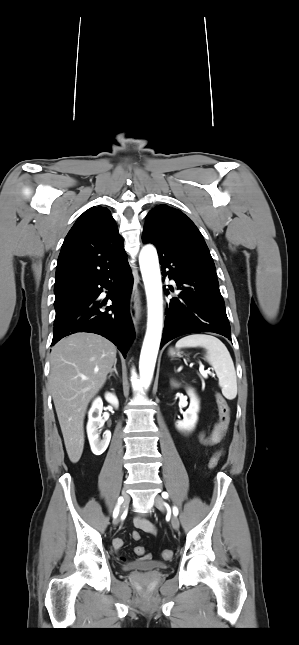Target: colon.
<instances>
[{
  "instance_id": "obj_1",
  "label": "colon",
  "mask_w": 299,
  "mask_h": 645,
  "mask_svg": "<svg viewBox=\"0 0 299 645\" xmlns=\"http://www.w3.org/2000/svg\"><path fill=\"white\" fill-rule=\"evenodd\" d=\"M216 403L218 408L219 427L221 430V435L224 436L229 425L230 408L227 400L220 393L216 394ZM219 459H220V451L217 450L214 452V454L211 456L209 460L208 467L210 470H213L217 467ZM132 536H133V539L135 540L140 539V534L138 532H133ZM135 553L139 556H144L145 555L144 547L137 546L135 548ZM172 556H173V552L171 550L166 549L162 551V557L165 560L171 559Z\"/></svg>"
}]
</instances>
